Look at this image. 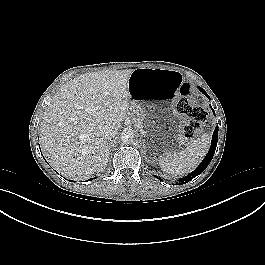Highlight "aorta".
Segmentation results:
<instances>
[{"mask_svg":"<svg viewBox=\"0 0 265 265\" xmlns=\"http://www.w3.org/2000/svg\"><path fill=\"white\" fill-rule=\"evenodd\" d=\"M134 137H135V134L132 131H124L122 132L120 138L122 142L129 144L133 142Z\"/></svg>","mask_w":265,"mask_h":265,"instance_id":"obj_1","label":"aorta"}]
</instances>
